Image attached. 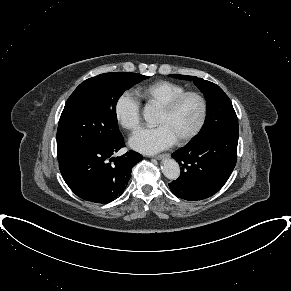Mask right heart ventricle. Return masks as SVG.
Listing matches in <instances>:
<instances>
[{
    "label": "right heart ventricle",
    "instance_id": "right-heart-ventricle-1",
    "mask_svg": "<svg viewBox=\"0 0 291 291\" xmlns=\"http://www.w3.org/2000/svg\"><path fill=\"white\" fill-rule=\"evenodd\" d=\"M183 92H185L184 86L167 80L157 81L137 90V94L147 103L160 108Z\"/></svg>",
    "mask_w": 291,
    "mask_h": 291
}]
</instances>
